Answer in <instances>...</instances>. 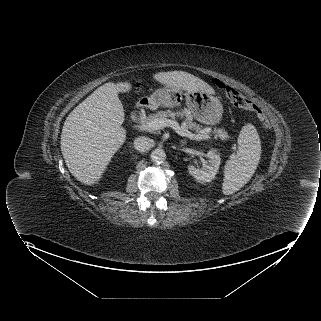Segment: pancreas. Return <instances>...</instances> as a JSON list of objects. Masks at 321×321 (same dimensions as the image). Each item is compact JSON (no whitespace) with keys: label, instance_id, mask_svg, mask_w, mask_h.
Segmentation results:
<instances>
[{"label":"pancreas","instance_id":"pancreas-1","mask_svg":"<svg viewBox=\"0 0 321 321\" xmlns=\"http://www.w3.org/2000/svg\"><path fill=\"white\" fill-rule=\"evenodd\" d=\"M184 116L187 117V122L185 125L186 129H190L194 131L196 134H201V133H208L199 124H196L192 122V115L190 114L189 110H182V111H159L156 114L149 115L147 118H145L142 121V125H146L147 123L155 120V119H167V118H172L175 119V117L183 118ZM213 133L215 136H218L222 139L228 138V133L225 131L223 128H218L214 129Z\"/></svg>","mask_w":321,"mask_h":321}]
</instances>
